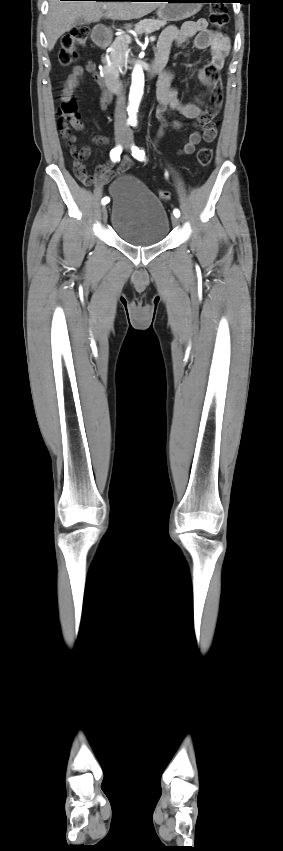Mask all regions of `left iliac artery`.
I'll return each instance as SVG.
<instances>
[{
    "label": "left iliac artery",
    "instance_id": "1",
    "mask_svg": "<svg viewBox=\"0 0 283 851\" xmlns=\"http://www.w3.org/2000/svg\"><path fill=\"white\" fill-rule=\"evenodd\" d=\"M132 155H133V157H134V158H136V159H137V160H139V161H143V160L145 159V152H144V150H140V149H139L137 146H135V145H133V146H132ZM173 213H174V215H175L176 217H179V216H180V211H179L178 209H174Z\"/></svg>",
    "mask_w": 283,
    "mask_h": 851
}]
</instances>
